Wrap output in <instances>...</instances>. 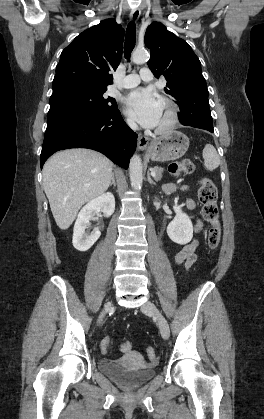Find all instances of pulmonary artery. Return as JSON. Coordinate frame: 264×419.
I'll return each mask as SVG.
<instances>
[{
    "mask_svg": "<svg viewBox=\"0 0 264 419\" xmlns=\"http://www.w3.org/2000/svg\"><path fill=\"white\" fill-rule=\"evenodd\" d=\"M152 79V73L148 68H142L139 74H129L123 80L124 88H133L137 86L141 80L150 81Z\"/></svg>",
    "mask_w": 264,
    "mask_h": 419,
    "instance_id": "1",
    "label": "pulmonary artery"
}]
</instances>
